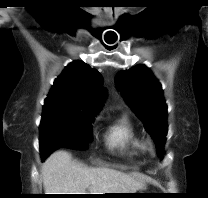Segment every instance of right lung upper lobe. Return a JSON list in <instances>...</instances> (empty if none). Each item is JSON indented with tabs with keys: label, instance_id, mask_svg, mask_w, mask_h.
<instances>
[{
	"label": "right lung upper lobe",
	"instance_id": "obj_1",
	"mask_svg": "<svg viewBox=\"0 0 208 198\" xmlns=\"http://www.w3.org/2000/svg\"><path fill=\"white\" fill-rule=\"evenodd\" d=\"M105 97L102 75L86 63L74 61L54 81L43 112L71 111L96 116Z\"/></svg>",
	"mask_w": 208,
	"mask_h": 198
}]
</instances>
